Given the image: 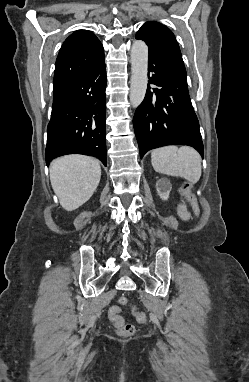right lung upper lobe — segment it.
<instances>
[{
  "label": "right lung upper lobe",
  "mask_w": 249,
  "mask_h": 382,
  "mask_svg": "<svg viewBox=\"0 0 249 382\" xmlns=\"http://www.w3.org/2000/svg\"><path fill=\"white\" fill-rule=\"evenodd\" d=\"M103 54L101 42L90 31L78 30L70 35L56 60L53 95L89 70Z\"/></svg>",
  "instance_id": "right-lung-upper-lobe-1"
}]
</instances>
